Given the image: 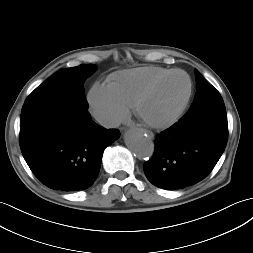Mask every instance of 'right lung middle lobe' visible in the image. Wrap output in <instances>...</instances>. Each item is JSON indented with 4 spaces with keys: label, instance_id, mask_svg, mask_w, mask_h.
Wrapping results in <instances>:
<instances>
[{
    "label": "right lung middle lobe",
    "instance_id": "right-lung-middle-lobe-1",
    "mask_svg": "<svg viewBox=\"0 0 253 253\" xmlns=\"http://www.w3.org/2000/svg\"><path fill=\"white\" fill-rule=\"evenodd\" d=\"M95 69L93 64H81L59 70L27 97L21 117L65 102H76L88 108L83 94V82Z\"/></svg>",
    "mask_w": 253,
    "mask_h": 253
}]
</instances>
